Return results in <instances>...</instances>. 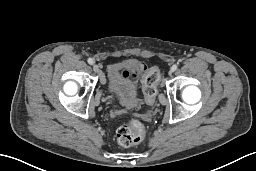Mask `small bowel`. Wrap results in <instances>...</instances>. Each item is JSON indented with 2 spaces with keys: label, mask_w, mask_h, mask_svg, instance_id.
I'll return each mask as SVG.
<instances>
[{
  "label": "small bowel",
  "mask_w": 256,
  "mask_h": 171,
  "mask_svg": "<svg viewBox=\"0 0 256 171\" xmlns=\"http://www.w3.org/2000/svg\"><path fill=\"white\" fill-rule=\"evenodd\" d=\"M136 63L138 65L139 71L143 72L145 70V68H146L145 64L143 62H140V61H138Z\"/></svg>",
  "instance_id": "obj_1"
}]
</instances>
